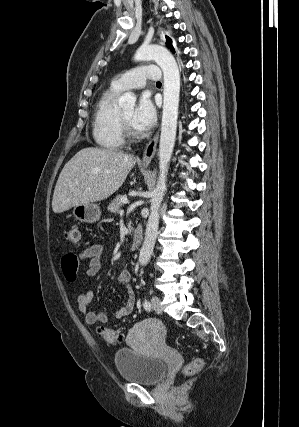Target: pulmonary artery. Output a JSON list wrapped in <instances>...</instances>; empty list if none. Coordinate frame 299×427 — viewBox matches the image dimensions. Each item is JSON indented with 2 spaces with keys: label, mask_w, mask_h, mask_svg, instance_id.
<instances>
[{
  "label": "pulmonary artery",
  "mask_w": 299,
  "mask_h": 427,
  "mask_svg": "<svg viewBox=\"0 0 299 427\" xmlns=\"http://www.w3.org/2000/svg\"><path fill=\"white\" fill-rule=\"evenodd\" d=\"M161 71L157 66L143 65L123 73L113 81V86L119 90L143 88L147 80L158 81Z\"/></svg>",
  "instance_id": "pulmonary-artery-1"
}]
</instances>
